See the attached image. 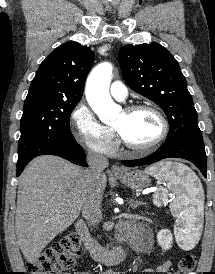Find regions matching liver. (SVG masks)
<instances>
[{
  "instance_id": "1",
  "label": "liver",
  "mask_w": 215,
  "mask_h": 274,
  "mask_svg": "<svg viewBox=\"0 0 215 274\" xmlns=\"http://www.w3.org/2000/svg\"><path fill=\"white\" fill-rule=\"evenodd\" d=\"M87 169L56 156L33 159L19 178L15 231L28 263L79 216L87 191ZM102 190L107 184L102 177Z\"/></svg>"
}]
</instances>
